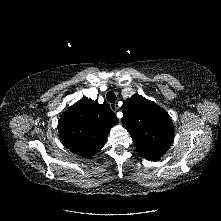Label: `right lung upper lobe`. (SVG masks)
Instances as JSON below:
<instances>
[{
	"instance_id": "1",
	"label": "right lung upper lobe",
	"mask_w": 221,
	"mask_h": 221,
	"mask_svg": "<svg viewBox=\"0 0 221 221\" xmlns=\"http://www.w3.org/2000/svg\"><path fill=\"white\" fill-rule=\"evenodd\" d=\"M117 123L107 104L83 98L60 117L58 132L67 148L88 158L104 146L108 132Z\"/></svg>"
}]
</instances>
